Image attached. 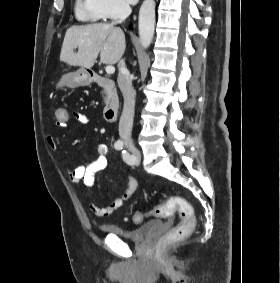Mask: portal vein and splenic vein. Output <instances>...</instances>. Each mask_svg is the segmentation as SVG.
<instances>
[{
    "mask_svg": "<svg viewBox=\"0 0 280 283\" xmlns=\"http://www.w3.org/2000/svg\"><path fill=\"white\" fill-rule=\"evenodd\" d=\"M105 71H106L107 74L110 75V74H113L115 72V68L112 65H107L106 68H105Z\"/></svg>",
    "mask_w": 280,
    "mask_h": 283,
    "instance_id": "portal-vein-and-splenic-vein-1",
    "label": "portal vein and splenic vein"
}]
</instances>
